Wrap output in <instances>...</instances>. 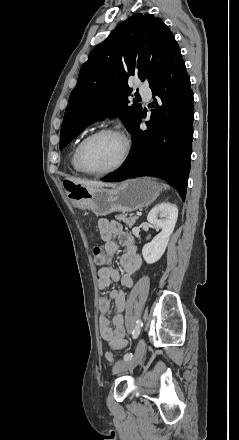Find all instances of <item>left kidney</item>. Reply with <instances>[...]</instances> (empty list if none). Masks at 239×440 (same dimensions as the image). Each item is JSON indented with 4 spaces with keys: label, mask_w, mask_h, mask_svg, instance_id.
Instances as JSON below:
<instances>
[{
    "label": "left kidney",
    "mask_w": 239,
    "mask_h": 440,
    "mask_svg": "<svg viewBox=\"0 0 239 440\" xmlns=\"http://www.w3.org/2000/svg\"><path fill=\"white\" fill-rule=\"evenodd\" d=\"M177 218L178 208L175 204H169V202L157 204L155 208L150 210L147 222L152 226H156V228H161L162 232L157 234L150 244H145L142 248V256L147 264H154L163 256Z\"/></svg>",
    "instance_id": "1"
}]
</instances>
